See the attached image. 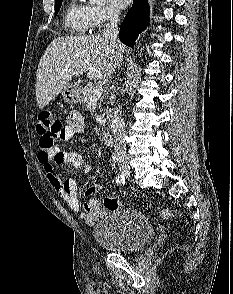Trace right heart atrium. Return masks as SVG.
Returning <instances> with one entry per match:
<instances>
[{"instance_id": "d8ad5b80", "label": "right heart atrium", "mask_w": 233, "mask_h": 294, "mask_svg": "<svg viewBox=\"0 0 233 294\" xmlns=\"http://www.w3.org/2000/svg\"><path fill=\"white\" fill-rule=\"evenodd\" d=\"M88 11L92 20V28L96 29L114 21L119 15L118 10L112 5H89Z\"/></svg>"}]
</instances>
